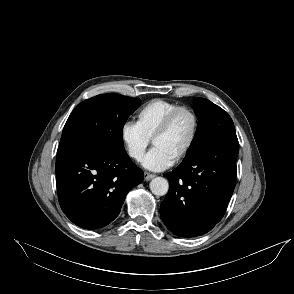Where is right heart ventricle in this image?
Here are the masks:
<instances>
[{"mask_svg":"<svg viewBox=\"0 0 294 294\" xmlns=\"http://www.w3.org/2000/svg\"><path fill=\"white\" fill-rule=\"evenodd\" d=\"M180 105L164 99H154L140 108L136 115V123L142 132L152 138L166 116Z\"/></svg>","mask_w":294,"mask_h":294,"instance_id":"obj_1","label":"right heart ventricle"}]
</instances>
